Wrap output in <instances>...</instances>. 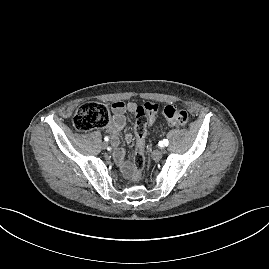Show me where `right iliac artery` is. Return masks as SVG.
<instances>
[{
	"instance_id": "right-iliac-artery-1",
	"label": "right iliac artery",
	"mask_w": 269,
	"mask_h": 269,
	"mask_svg": "<svg viewBox=\"0 0 269 269\" xmlns=\"http://www.w3.org/2000/svg\"><path fill=\"white\" fill-rule=\"evenodd\" d=\"M104 140H105V141H108V140H109V138L106 136V137L104 138Z\"/></svg>"
}]
</instances>
